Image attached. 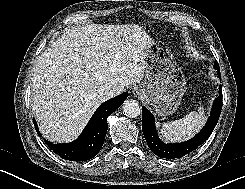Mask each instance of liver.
Here are the masks:
<instances>
[{"label":"liver","mask_w":245,"mask_h":189,"mask_svg":"<svg viewBox=\"0 0 245 189\" xmlns=\"http://www.w3.org/2000/svg\"><path fill=\"white\" fill-rule=\"evenodd\" d=\"M154 40L137 24H89L67 30L40 54L32 80V111L44 137L74 140L108 98L104 91L140 83L144 50Z\"/></svg>","instance_id":"6515ba94"}]
</instances>
